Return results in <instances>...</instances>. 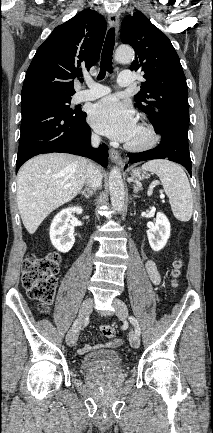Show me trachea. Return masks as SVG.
<instances>
[{
    "label": "trachea",
    "mask_w": 213,
    "mask_h": 433,
    "mask_svg": "<svg viewBox=\"0 0 213 433\" xmlns=\"http://www.w3.org/2000/svg\"><path fill=\"white\" fill-rule=\"evenodd\" d=\"M115 45V29L112 27L108 30L102 55H101V62H100V72L98 75V79L102 80L105 77L106 72L111 73L112 72V55H113V49Z\"/></svg>",
    "instance_id": "obj_1"
}]
</instances>
